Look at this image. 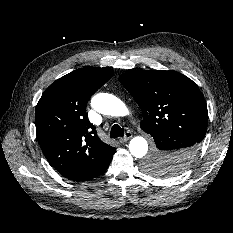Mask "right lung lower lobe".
Here are the masks:
<instances>
[{
    "instance_id": "1",
    "label": "right lung lower lobe",
    "mask_w": 233,
    "mask_h": 233,
    "mask_svg": "<svg viewBox=\"0 0 233 233\" xmlns=\"http://www.w3.org/2000/svg\"><path fill=\"white\" fill-rule=\"evenodd\" d=\"M113 155L108 159V161L103 165L99 170L90 172L88 170H81V171H76L75 173L71 174L68 179L72 181H88L91 180L101 174H103L106 169L108 168L111 160H112Z\"/></svg>"
}]
</instances>
